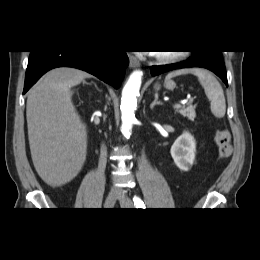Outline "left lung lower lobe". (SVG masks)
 I'll return each instance as SVG.
<instances>
[{
	"mask_svg": "<svg viewBox=\"0 0 260 260\" xmlns=\"http://www.w3.org/2000/svg\"><path fill=\"white\" fill-rule=\"evenodd\" d=\"M221 52L222 51L218 50L194 51V54L186 61L168 65L152 66L151 74L152 76H156L175 69L201 67L214 72L223 80L226 86H228L226 69Z\"/></svg>",
	"mask_w": 260,
	"mask_h": 260,
	"instance_id": "obj_1",
	"label": "left lung lower lobe"
}]
</instances>
